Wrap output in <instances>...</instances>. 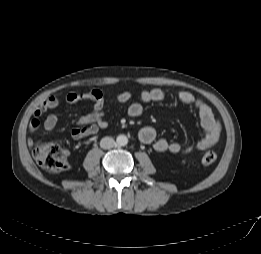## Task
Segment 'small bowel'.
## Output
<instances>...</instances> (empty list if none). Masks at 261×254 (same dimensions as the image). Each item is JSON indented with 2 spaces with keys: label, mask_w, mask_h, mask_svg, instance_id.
I'll return each instance as SVG.
<instances>
[{
  "label": "small bowel",
  "mask_w": 261,
  "mask_h": 254,
  "mask_svg": "<svg viewBox=\"0 0 261 254\" xmlns=\"http://www.w3.org/2000/svg\"><path fill=\"white\" fill-rule=\"evenodd\" d=\"M175 98L197 112L203 130V137L192 146H183L177 142L157 138L155 129L145 126L139 131V140L144 144H151L158 153L190 154L194 150H206L214 146L220 138L221 126L211 109L188 91L181 90L176 92ZM131 99L132 94L129 91H123L112 97L111 102L114 104H127ZM165 99L166 93L159 88L143 90L139 94L138 100L128 105L127 114L131 118L139 117L143 112L144 103L163 102ZM64 100L68 104H75L81 101L93 102L92 111L81 116L77 120L76 126L71 130V136L74 139L94 135L108 126V122L104 118L105 97L102 91L93 89L85 92H71L65 96ZM60 103L61 100L56 96H49L44 99L33 113V118L29 125L30 133H34L41 126L48 132L54 130L59 119L56 113L49 114L44 121L41 118L46 111L58 108ZM32 143L30 139L29 144L32 145Z\"/></svg>",
  "instance_id": "small-bowel-1"
}]
</instances>
